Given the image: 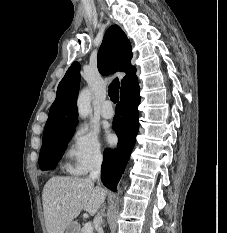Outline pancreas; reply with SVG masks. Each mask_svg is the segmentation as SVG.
<instances>
[{
    "mask_svg": "<svg viewBox=\"0 0 227 233\" xmlns=\"http://www.w3.org/2000/svg\"><path fill=\"white\" fill-rule=\"evenodd\" d=\"M79 233H83V231H82V230H80V231H79Z\"/></svg>",
    "mask_w": 227,
    "mask_h": 233,
    "instance_id": "cf45deb5",
    "label": "pancreas"
}]
</instances>
